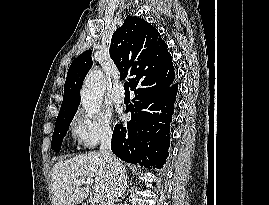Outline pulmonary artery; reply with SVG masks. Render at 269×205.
<instances>
[{
	"instance_id": "e3ab8cb5",
	"label": "pulmonary artery",
	"mask_w": 269,
	"mask_h": 205,
	"mask_svg": "<svg viewBox=\"0 0 269 205\" xmlns=\"http://www.w3.org/2000/svg\"><path fill=\"white\" fill-rule=\"evenodd\" d=\"M125 99L124 89L122 84H118L113 93V100L117 103H122Z\"/></svg>"
}]
</instances>
